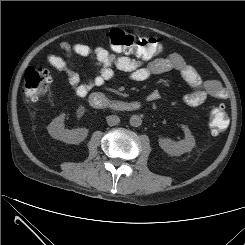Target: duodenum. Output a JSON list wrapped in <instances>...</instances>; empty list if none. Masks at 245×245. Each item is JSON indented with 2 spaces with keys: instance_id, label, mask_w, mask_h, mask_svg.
I'll list each match as a JSON object with an SVG mask.
<instances>
[{
  "instance_id": "obj_1",
  "label": "duodenum",
  "mask_w": 245,
  "mask_h": 245,
  "mask_svg": "<svg viewBox=\"0 0 245 245\" xmlns=\"http://www.w3.org/2000/svg\"><path fill=\"white\" fill-rule=\"evenodd\" d=\"M89 103L96 109H106L111 111H135L141 107L140 102H124L112 100L101 93H93L89 97Z\"/></svg>"
}]
</instances>
